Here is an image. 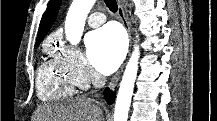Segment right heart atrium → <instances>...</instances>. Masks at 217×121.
I'll return each instance as SVG.
<instances>
[{
  "instance_id": "obj_1",
  "label": "right heart atrium",
  "mask_w": 217,
  "mask_h": 121,
  "mask_svg": "<svg viewBox=\"0 0 217 121\" xmlns=\"http://www.w3.org/2000/svg\"><path fill=\"white\" fill-rule=\"evenodd\" d=\"M50 51L55 52L57 62L67 70L81 89H86L90 84L99 81L98 76L91 70L79 50L57 42L50 48Z\"/></svg>"
}]
</instances>
